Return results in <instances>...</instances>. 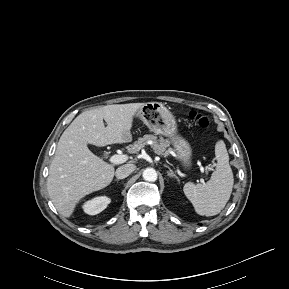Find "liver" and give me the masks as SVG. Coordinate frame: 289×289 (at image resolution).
<instances>
[{
    "label": "liver",
    "instance_id": "6515ba94",
    "mask_svg": "<svg viewBox=\"0 0 289 289\" xmlns=\"http://www.w3.org/2000/svg\"><path fill=\"white\" fill-rule=\"evenodd\" d=\"M144 104L107 105L82 112L63 132L47 178L49 197L62 216L70 217L83 197L105 188L114 177V166L93 154L87 145L130 142L134 116Z\"/></svg>",
    "mask_w": 289,
    "mask_h": 289
}]
</instances>
